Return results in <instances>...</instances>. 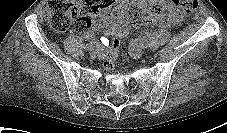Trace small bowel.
I'll return each mask as SVG.
<instances>
[{
    "label": "small bowel",
    "mask_w": 227,
    "mask_h": 133,
    "mask_svg": "<svg viewBox=\"0 0 227 133\" xmlns=\"http://www.w3.org/2000/svg\"><path fill=\"white\" fill-rule=\"evenodd\" d=\"M149 5L158 6L165 9L166 19L162 20L160 23L163 27L176 26L181 22L179 16L175 15L172 11L171 0H148ZM131 5H140L145 7L144 0H120V6L117 10L106 18L97 21L91 29L84 32V38L86 40H91L94 36V30L105 29V33L109 36L124 37L126 36L132 26V20L129 16L128 10ZM156 22L149 23L152 25ZM102 58L104 55L101 56Z\"/></svg>",
    "instance_id": "1"
}]
</instances>
